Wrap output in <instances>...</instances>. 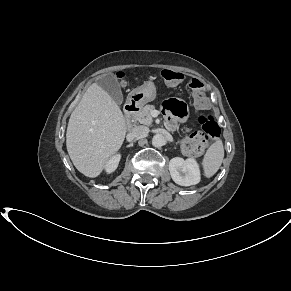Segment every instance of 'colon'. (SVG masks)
<instances>
[{
    "mask_svg": "<svg viewBox=\"0 0 291 291\" xmlns=\"http://www.w3.org/2000/svg\"><path fill=\"white\" fill-rule=\"evenodd\" d=\"M161 77L168 85H177L184 75L179 71L163 70ZM196 109L198 110L197 120L201 130L190 132L181 139V147L188 155H197L203 152L210 143L219 135V126L213 118L204 111L207 109L209 100L204 91L203 84L199 80H192L190 83Z\"/></svg>",
    "mask_w": 291,
    "mask_h": 291,
    "instance_id": "obj_1",
    "label": "colon"
}]
</instances>
